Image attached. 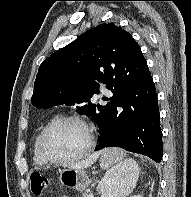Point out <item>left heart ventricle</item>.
Returning <instances> with one entry per match:
<instances>
[{"instance_id":"left-heart-ventricle-1","label":"left heart ventricle","mask_w":191,"mask_h":197,"mask_svg":"<svg viewBox=\"0 0 191 197\" xmlns=\"http://www.w3.org/2000/svg\"><path fill=\"white\" fill-rule=\"evenodd\" d=\"M88 143L87 130L75 121L54 126L46 135V150L54 157L64 158L81 152Z\"/></svg>"}]
</instances>
